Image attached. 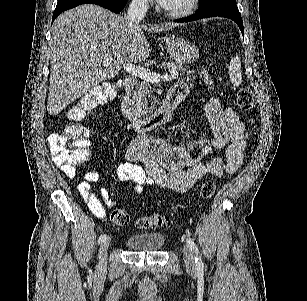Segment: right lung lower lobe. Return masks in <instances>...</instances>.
<instances>
[{
	"label": "right lung lower lobe",
	"mask_w": 307,
	"mask_h": 301,
	"mask_svg": "<svg viewBox=\"0 0 307 301\" xmlns=\"http://www.w3.org/2000/svg\"><path fill=\"white\" fill-rule=\"evenodd\" d=\"M126 2L127 0H58L56 9L53 13L52 23L55 18L63 11L74 8L81 4H97L109 9L112 12L120 13V11L124 8Z\"/></svg>",
	"instance_id": "98d812e1"
}]
</instances>
